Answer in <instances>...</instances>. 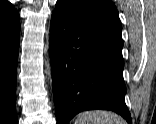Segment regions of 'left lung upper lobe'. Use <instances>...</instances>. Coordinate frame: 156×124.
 <instances>
[{"label":"left lung upper lobe","instance_id":"obj_1","mask_svg":"<svg viewBox=\"0 0 156 124\" xmlns=\"http://www.w3.org/2000/svg\"><path fill=\"white\" fill-rule=\"evenodd\" d=\"M71 13L121 37V23L111 0H58Z\"/></svg>","mask_w":156,"mask_h":124}]
</instances>
